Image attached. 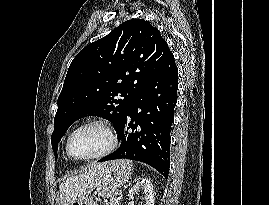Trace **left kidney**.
Masks as SVG:
<instances>
[{"instance_id": "1", "label": "left kidney", "mask_w": 269, "mask_h": 205, "mask_svg": "<svg viewBox=\"0 0 269 205\" xmlns=\"http://www.w3.org/2000/svg\"><path fill=\"white\" fill-rule=\"evenodd\" d=\"M143 191L144 201L142 205H154V192L153 187L149 179L144 178L137 182L129 191L128 197L130 200L129 205H134V196L138 192Z\"/></svg>"}]
</instances>
